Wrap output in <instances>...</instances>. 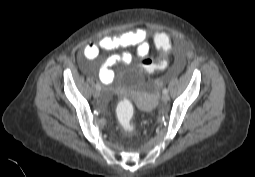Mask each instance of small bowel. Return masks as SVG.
I'll return each mask as SVG.
<instances>
[{
    "label": "small bowel",
    "mask_w": 255,
    "mask_h": 177,
    "mask_svg": "<svg viewBox=\"0 0 255 177\" xmlns=\"http://www.w3.org/2000/svg\"><path fill=\"white\" fill-rule=\"evenodd\" d=\"M132 46L136 47V52L139 57L148 55L150 52V42L148 31L145 28H137L117 36H104L97 43L87 44L80 58L81 67L85 72L90 73L91 69L86 60H94L97 58L101 49L110 51ZM131 60L132 54L129 52H122L109 56L99 70L101 82L105 84L111 83L114 78L113 67L118 63L127 64ZM179 65H181V60H179Z\"/></svg>",
    "instance_id": "obj_1"
}]
</instances>
